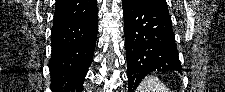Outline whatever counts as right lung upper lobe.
I'll use <instances>...</instances> for the list:
<instances>
[{"mask_svg": "<svg viewBox=\"0 0 225 92\" xmlns=\"http://www.w3.org/2000/svg\"><path fill=\"white\" fill-rule=\"evenodd\" d=\"M97 11V0H57L53 26L70 23Z\"/></svg>", "mask_w": 225, "mask_h": 92, "instance_id": "obj_1", "label": "right lung upper lobe"}]
</instances>
